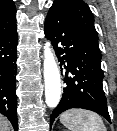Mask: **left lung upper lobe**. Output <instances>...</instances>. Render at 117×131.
I'll return each instance as SVG.
<instances>
[{
	"instance_id": "obj_1",
	"label": "left lung upper lobe",
	"mask_w": 117,
	"mask_h": 131,
	"mask_svg": "<svg viewBox=\"0 0 117 131\" xmlns=\"http://www.w3.org/2000/svg\"><path fill=\"white\" fill-rule=\"evenodd\" d=\"M52 6L65 7L72 15L85 44L102 57L98 46V34L89 6L82 0H55Z\"/></svg>"
}]
</instances>
